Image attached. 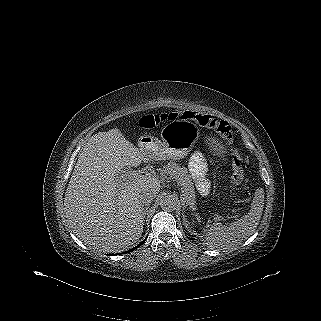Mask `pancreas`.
Instances as JSON below:
<instances>
[{"label": "pancreas", "mask_w": 321, "mask_h": 321, "mask_svg": "<svg viewBox=\"0 0 321 321\" xmlns=\"http://www.w3.org/2000/svg\"><path fill=\"white\" fill-rule=\"evenodd\" d=\"M164 171L176 179L178 185L181 187L185 202L192 210H194L195 192L193 189V183L191 182V176L188 174L187 169L185 167H181L177 163L170 162L164 167Z\"/></svg>", "instance_id": "obj_1"}]
</instances>
